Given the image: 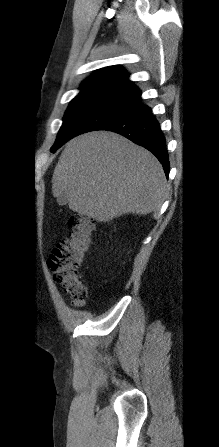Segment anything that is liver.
Masks as SVG:
<instances>
[{
  "label": "liver",
  "instance_id": "6515ba94",
  "mask_svg": "<svg viewBox=\"0 0 219 447\" xmlns=\"http://www.w3.org/2000/svg\"><path fill=\"white\" fill-rule=\"evenodd\" d=\"M167 181L149 151L112 132L95 131L68 142L52 178V193L69 209L98 222L123 214L147 215L165 200Z\"/></svg>",
  "mask_w": 219,
  "mask_h": 447
}]
</instances>
